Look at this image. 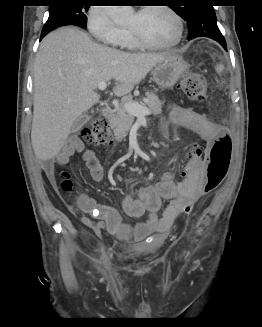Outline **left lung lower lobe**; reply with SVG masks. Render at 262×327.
Segmentation results:
<instances>
[{"label":"left lung lower lobe","instance_id":"left-lung-lower-lobe-1","mask_svg":"<svg viewBox=\"0 0 262 327\" xmlns=\"http://www.w3.org/2000/svg\"><path fill=\"white\" fill-rule=\"evenodd\" d=\"M201 36L209 37V38L217 41L227 51V46H226L225 39H224L223 35L221 34L218 26H217L216 29L214 28V29H211V30H204V31L196 30L194 32L191 31L188 34V40L194 39L196 37H201Z\"/></svg>","mask_w":262,"mask_h":327}]
</instances>
